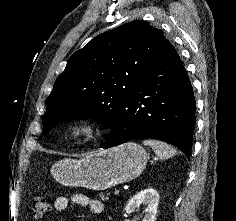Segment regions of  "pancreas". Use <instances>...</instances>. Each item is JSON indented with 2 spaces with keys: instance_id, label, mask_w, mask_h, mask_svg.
Segmentation results:
<instances>
[{
  "instance_id": "cf45deb5",
  "label": "pancreas",
  "mask_w": 236,
  "mask_h": 221,
  "mask_svg": "<svg viewBox=\"0 0 236 221\" xmlns=\"http://www.w3.org/2000/svg\"><path fill=\"white\" fill-rule=\"evenodd\" d=\"M108 195H109L108 193H107V195L101 193V194H100L101 200H103V201H104V200H108V199H109Z\"/></svg>"
}]
</instances>
